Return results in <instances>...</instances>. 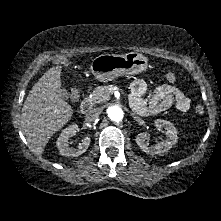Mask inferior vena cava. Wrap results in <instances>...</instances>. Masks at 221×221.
I'll list each match as a JSON object with an SVG mask.
<instances>
[{"label": "inferior vena cava", "mask_w": 221, "mask_h": 221, "mask_svg": "<svg viewBox=\"0 0 221 221\" xmlns=\"http://www.w3.org/2000/svg\"><path fill=\"white\" fill-rule=\"evenodd\" d=\"M101 113L99 108H93L86 114V121L87 122H94L97 120Z\"/></svg>", "instance_id": "obj_1"}]
</instances>
